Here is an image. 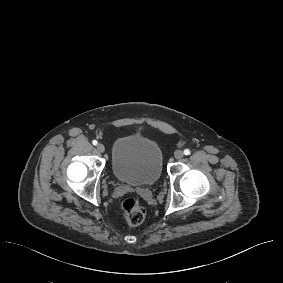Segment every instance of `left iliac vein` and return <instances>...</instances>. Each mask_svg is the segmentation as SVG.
Masks as SVG:
<instances>
[{
	"label": "left iliac vein",
	"instance_id": "left-iliac-vein-1",
	"mask_svg": "<svg viewBox=\"0 0 283 283\" xmlns=\"http://www.w3.org/2000/svg\"><path fill=\"white\" fill-rule=\"evenodd\" d=\"M183 156H184V153H183L182 150H177V151H175V153H174V157H175L176 159H182Z\"/></svg>",
	"mask_w": 283,
	"mask_h": 283
}]
</instances>
